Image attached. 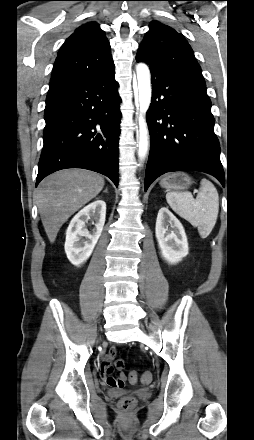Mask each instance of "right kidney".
<instances>
[{
	"instance_id": "1",
	"label": "right kidney",
	"mask_w": 254,
	"mask_h": 440,
	"mask_svg": "<svg viewBox=\"0 0 254 440\" xmlns=\"http://www.w3.org/2000/svg\"><path fill=\"white\" fill-rule=\"evenodd\" d=\"M106 217V203L96 200L80 210L71 220L65 241V252L69 261L80 266L92 254L101 236ZM93 219L95 227L92 233L86 228L88 220Z\"/></svg>"
}]
</instances>
